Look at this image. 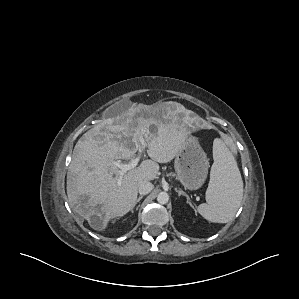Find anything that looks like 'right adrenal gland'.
<instances>
[{
  "label": "right adrenal gland",
  "mask_w": 299,
  "mask_h": 299,
  "mask_svg": "<svg viewBox=\"0 0 299 299\" xmlns=\"http://www.w3.org/2000/svg\"><path fill=\"white\" fill-rule=\"evenodd\" d=\"M142 198H143V195L139 196L136 200L135 205L138 204ZM136 210H138V207L136 208ZM132 212H133V210H132Z\"/></svg>",
  "instance_id": "2a0ac1e0"
}]
</instances>
